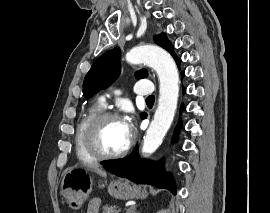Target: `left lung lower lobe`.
Returning a JSON list of instances; mask_svg holds the SVG:
<instances>
[{"mask_svg": "<svg viewBox=\"0 0 270 213\" xmlns=\"http://www.w3.org/2000/svg\"><path fill=\"white\" fill-rule=\"evenodd\" d=\"M181 76H184V72H181ZM181 110H183V106ZM178 126H180V123ZM176 133L177 129L175 130ZM163 165V161L155 164L148 160L139 159L137 149L124 159L115 160L110 164L104 165V168L117 176L127 178L133 182L166 188L173 194H176L175 183L169 174H164Z\"/></svg>", "mask_w": 270, "mask_h": 213, "instance_id": "1", "label": "left lung lower lobe"}]
</instances>
